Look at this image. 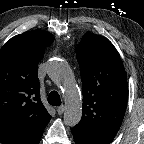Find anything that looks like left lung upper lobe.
Masks as SVG:
<instances>
[{
    "label": "left lung upper lobe",
    "mask_w": 144,
    "mask_h": 144,
    "mask_svg": "<svg viewBox=\"0 0 144 144\" xmlns=\"http://www.w3.org/2000/svg\"><path fill=\"white\" fill-rule=\"evenodd\" d=\"M83 85L81 121L72 131L84 138L110 144L127 107L128 85L120 55L111 42L87 32L76 51Z\"/></svg>",
    "instance_id": "left-lung-upper-lobe-1"
}]
</instances>
